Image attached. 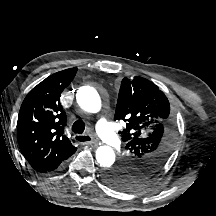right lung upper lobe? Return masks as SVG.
<instances>
[{
    "instance_id": "right-lung-upper-lobe-1",
    "label": "right lung upper lobe",
    "mask_w": 216,
    "mask_h": 216,
    "mask_svg": "<svg viewBox=\"0 0 216 216\" xmlns=\"http://www.w3.org/2000/svg\"><path fill=\"white\" fill-rule=\"evenodd\" d=\"M77 68L47 77L24 99L18 116L20 148L38 172L56 169L77 150L64 134L66 113L59 103L62 91L71 83Z\"/></svg>"
}]
</instances>
